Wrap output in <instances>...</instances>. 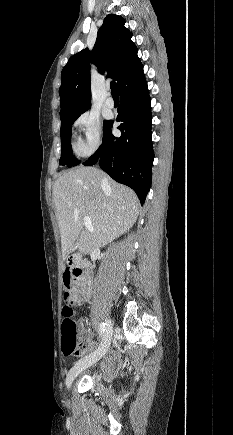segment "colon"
<instances>
[{
    "label": "colon",
    "instance_id": "obj_1",
    "mask_svg": "<svg viewBox=\"0 0 233 435\" xmlns=\"http://www.w3.org/2000/svg\"><path fill=\"white\" fill-rule=\"evenodd\" d=\"M79 282L76 275L66 268L63 274V287L71 288ZM74 308L70 298L65 297V306L62 311L61 323V349L65 355H81L85 352V348L78 343V325L74 319Z\"/></svg>",
    "mask_w": 233,
    "mask_h": 435
}]
</instances>
